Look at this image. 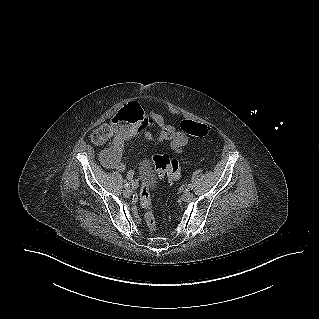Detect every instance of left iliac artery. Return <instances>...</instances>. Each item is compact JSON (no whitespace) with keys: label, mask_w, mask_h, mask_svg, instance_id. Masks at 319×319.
<instances>
[{"label":"left iliac artery","mask_w":319,"mask_h":319,"mask_svg":"<svg viewBox=\"0 0 319 319\" xmlns=\"http://www.w3.org/2000/svg\"><path fill=\"white\" fill-rule=\"evenodd\" d=\"M188 189L193 190V186L191 184H189Z\"/></svg>","instance_id":"obj_1"}]
</instances>
